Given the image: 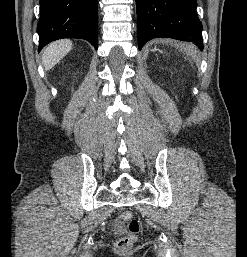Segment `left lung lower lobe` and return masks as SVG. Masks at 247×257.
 <instances>
[{
	"mask_svg": "<svg viewBox=\"0 0 247 257\" xmlns=\"http://www.w3.org/2000/svg\"><path fill=\"white\" fill-rule=\"evenodd\" d=\"M197 0H136L138 48L158 37L191 41L203 49Z\"/></svg>",
	"mask_w": 247,
	"mask_h": 257,
	"instance_id": "obj_1",
	"label": "left lung lower lobe"
}]
</instances>
